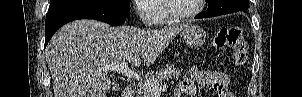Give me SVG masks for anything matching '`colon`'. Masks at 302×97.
Returning a JSON list of instances; mask_svg holds the SVG:
<instances>
[{"label": "colon", "mask_w": 302, "mask_h": 97, "mask_svg": "<svg viewBox=\"0 0 302 97\" xmlns=\"http://www.w3.org/2000/svg\"><path fill=\"white\" fill-rule=\"evenodd\" d=\"M212 45L217 49L231 48L233 60L243 64L248 57V44L239 27H223L218 30L213 38Z\"/></svg>", "instance_id": "5ec220e1"}]
</instances>
